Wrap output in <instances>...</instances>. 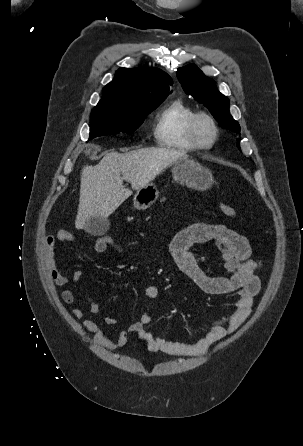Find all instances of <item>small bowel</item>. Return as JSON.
<instances>
[{"label":"small bowel","mask_w":303,"mask_h":446,"mask_svg":"<svg viewBox=\"0 0 303 446\" xmlns=\"http://www.w3.org/2000/svg\"><path fill=\"white\" fill-rule=\"evenodd\" d=\"M74 241L75 235L69 229H61L44 239L46 267L56 286L63 287L70 282V279L56 266L54 258L56 245L58 242ZM207 242H215L219 248L227 276H211L200 267L192 249ZM93 249L96 253L114 249L117 253L126 255L124 247L119 242L111 240L106 244L105 237L97 238L93 243ZM170 252L181 272L202 292L211 295L234 294L236 299L232 311L220 320L212 322L207 333L192 343L166 340L148 332L146 327L152 321V316L148 312L143 313L139 320L132 323L127 330L118 332L113 338H107L95 321L84 320L82 328L95 334L98 345L108 349L123 347L129 337L135 335L151 351L173 356H198L206 353L217 341L234 333L247 319L251 313L253 299L260 289V280L256 275L259 263L252 259V249L246 237L222 224L194 223L172 237ZM72 281L85 289L89 311L98 314L100 307L85 283L83 272L75 271ZM144 293L146 298L154 300L159 296L160 288L157 285H150ZM61 298L68 305L75 301V295L70 289H64ZM71 313L76 319H82L85 315V311L81 308H74ZM105 321L109 325L117 323L111 316H107Z\"/></svg>","instance_id":"small-bowel-1"}]
</instances>
